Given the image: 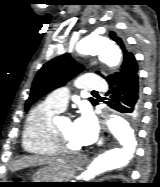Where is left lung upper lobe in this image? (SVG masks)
Segmentation results:
<instances>
[{"label": "left lung upper lobe", "instance_id": "obj_1", "mask_svg": "<svg viewBox=\"0 0 160 187\" xmlns=\"http://www.w3.org/2000/svg\"><path fill=\"white\" fill-rule=\"evenodd\" d=\"M110 38L115 41L123 50L124 61L118 72L111 74L106 78L108 81L111 77L118 74L128 57L133 55L125 49L124 43L120 37L114 32L110 33ZM83 70L82 65L76 63L69 54L61 55L48 63H46L37 73L31 88L30 96L26 102L25 110L27 111L31 104L35 103L39 98L47 92L65 85V83L76 74ZM97 74H100L98 71ZM92 104L96 105V100L92 99Z\"/></svg>", "mask_w": 160, "mask_h": 187}]
</instances>
